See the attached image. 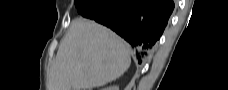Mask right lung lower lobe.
I'll return each instance as SVG.
<instances>
[{
  "instance_id": "1",
  "label": "right lung lower lobe",
  "mask_w": 228,
  "mask_h": 90,
  "mask_svg": "<svg viewBox=\"0 0 228 90\" xmlns=\"http://www.w3.org/2000/svg\"><path fill=\"white\" fill-rule=\"evenodd\" d=\"M173 9L172 0H105L95 14L84 17L111 28L124 38L141 63L154 50Z\"/></svg>"
}]
</instances>
